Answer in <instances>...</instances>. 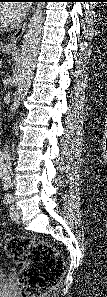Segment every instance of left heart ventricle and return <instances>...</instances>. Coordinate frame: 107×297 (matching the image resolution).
I'll list each match as a JSON object with an SVG mask.
<instances>
[{
  "label": "left heart ventricle",
  "instance_id": "obj_1",
  "mask_svg": "<svg viewBox=\"0 0 107 297\" xmlns=\"http://www.w3.org/2000/svg\"><path fill=\"white\" fill-rule=\"evenodd\" d=\"M0 20H1V22H3V23H4L5 21L7 22V19L5 18V16H4V14H3L2 11L0 12ZM6 22H5V23H6Z\"/></svg>",
  "mask_w": 107,
  "mask_h": 297
}]
</instances>
